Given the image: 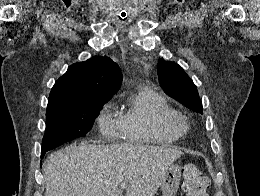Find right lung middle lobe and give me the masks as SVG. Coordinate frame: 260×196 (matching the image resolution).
<instances>
[{"label": "right lung middle lobe", "mask_w": 260, "mask_h": 196, "mask_svg": "<svg viewBox=\"0 0 260 196\" xmlns=\"http://www.w3.org/2000/svg\"><path fill=\"white\" fill-rule=\"evenodd\" d=\"M107 100L47 106L46 131L42 149L51 150L78 137H84Z\"/></svg>", "instance_id": "dd1d6c3e"}]
</instances>
